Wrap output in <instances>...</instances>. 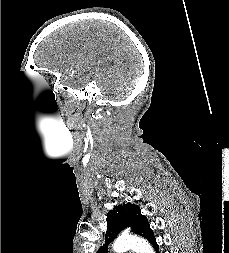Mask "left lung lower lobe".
Returning a JSON list of instances; mask_svg holds the SVG:
<instances>
[{"label":"left lung lower lobe","mask_w":229,"mask_h":253,"mask_svg":"<svg viewBox=\"0 0 229 253\" xmlns=\"http://www.w3.org/2000/svg\"><path fill=\"white\" fill-rule=\"evenodd\" d=\"M153 247L155 248L156 252H158V244L156 243V240L152 243Z\"/></svg>","instance_id":"obj_1"}]
</instances>
